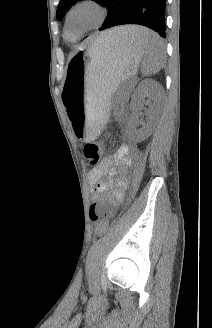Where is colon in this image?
<instances>
[{"label": "colon", "instance_id": "5ec220e1", "mask_svg": "<svg viewBox=\"0 0 212 328\" xmlns=\"http://www.w3.org/2000/svg\"><path fill=\"white\" fill-rule=\"evenodd\" d=\"M83 153L91 165H96L101 157L102 145L98 142L87 143L83 148ZM89 215L90 219L97 224V233L103 234L106 231L108 225V222L105 219L107 215V206L96 202L90 207Z\"/></svg>", "mask_w": 212, "mask_h": 328}]
</instances>
